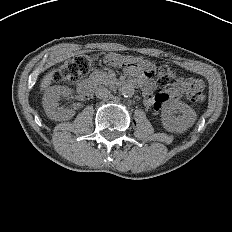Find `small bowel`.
Instances as JSON below:
<instances>
[{
  "mask_svg": "<svg viewBox=\"0 0 232 232\" xmlns=\"http://www.w3.org/2000/svg\"><path fill=\"white\" fill-rule=\"evenodd\" d=\"M105 64L107 66H118L120 74H128L133 78H138L142 82L145 101L153 110H158L169 99L179 98L186 90L187 81L180 79L168 92H160L153 96L154 83L151 77L154 68L152 63L144 58L110 53L105 57Z\"/></svg>",
  "mask_w": 232,
  "mask_h": 232,
  "instance_id": "obj_1",
  "label": "small bowel"
}]
</instances>
